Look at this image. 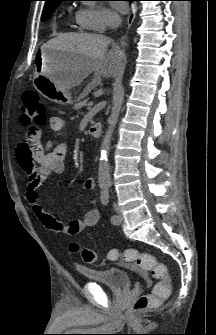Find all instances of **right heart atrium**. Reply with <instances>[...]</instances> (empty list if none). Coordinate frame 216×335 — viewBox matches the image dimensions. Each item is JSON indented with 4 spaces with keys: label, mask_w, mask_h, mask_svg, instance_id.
Instances as JSON below:
<instances>
[{
    "label": "right heart atrium",
    "mask_w": 216,
    "mask_h": 335,
    "mask_svg": "<svg viewBox=\"0 0 216 335\" xmlns=\"http://www.w3.org/2000/svg\"><path fill=\"white\" fill-rule=\"evenodd\" d=\"M82 25L89 30L103 32L118 20L116 14L103 6L83 7L78 12Z\"/></svg>",
    "instance_id": "obj_1"
}]
</instances>
